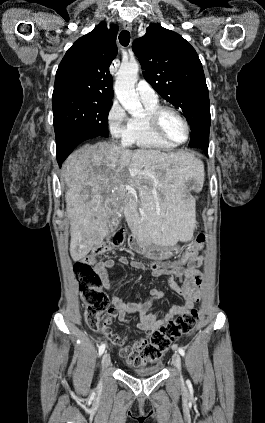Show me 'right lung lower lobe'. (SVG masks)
<instances>
[{
  "mask_svg": "<svg viewBox=\"0 0 265 423\" xmlns=\"http://www.w3.org/2000/svg\"><path fill=\"white\" fill-rule=\"evenodd\" d=\"M97 137L94 134L75 130V129H67L63 130L58 136H56V146L57 150L62 148L63 151L67 153H71L74 148L82 143L87 139H91ZM61 166V163L59 164Z\"/></svg>",
  "mask_w": 265,
  "mask_h": 423,
  "instance_id": "98d812e1",
  "label": "right lung lower lobe"
}]
</instances>
